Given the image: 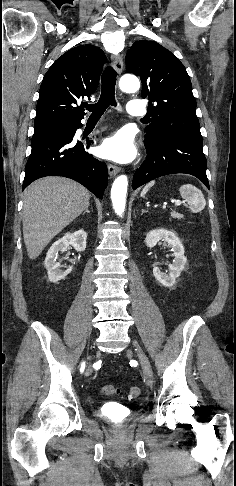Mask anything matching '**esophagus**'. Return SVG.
<instances>
[{"instance_id":"esophagus-1","label":"esophagus","mask_w":236,"mask_h":486,"mask_svg":"<svg viewBox=\"0 0 236 486\" xmlns=\"http://www.w3.org/2000/svg\"><path fill=\"white\" fill-rule=\"evenodd\" d=\"M112 61H113V67L116 70V72L118 74H121V72L123 70V60H122L121 55H116V56L112 57ZM107 168H108V172L111 176H115L116 174H118L120 172V168L113 165V164H108Z\"/></svg>"}]
</instances>
